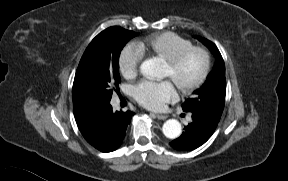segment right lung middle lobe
<instances>
[{"label":"right lung middle lobe","instance_id":"obj_1","mask_svg":"<svg viewBox=\"0 0 288 181\" xmlns=\"http://www.w3.org/2000/svg\"><path fill=\"white\" fill-rule=\"evenodd\" d=\"M136 35L133 31L117 26L99 33L86 48L73 85L98 101L109 104L113 89L118 88L120 82V52Z\"/></svg>","mask_w":288,"mask_h":181}]
</instances>
